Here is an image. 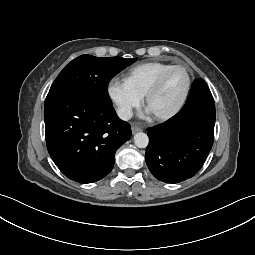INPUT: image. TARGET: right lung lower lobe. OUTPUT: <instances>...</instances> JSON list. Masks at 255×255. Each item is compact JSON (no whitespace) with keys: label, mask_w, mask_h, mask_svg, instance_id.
<instances>
[{"label":"right lung lower lobe","mask_w":255,"mask_h":255,"mask_svg":"<svg viewBox=\"0 0 255 255\" xmlns=\"http://www.w3.org/2000/svg\"><path fill=\"white\" fill-rule=\"evenodd\" d=\"M44 120L52 160L79 183L105 177L114 166L117 149L131 138L130 125L113 107L76 92L48 93Z\"/></svg>","instance_id":"right-lung-lower-lobe-1"}]
</instances>
